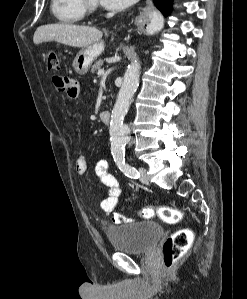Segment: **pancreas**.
<instances>
[{
    "label": "pancreas",
    "mask_w": 247,
    "mask_h": 299,
    "mask_svg": "<svg viewBox=\"0 0 247 299\" xmlns=\"http://www.w3.org/2000/svg\"><path fill=\"white\" fill-rule=\"evenodd\" d=\"M102 65H103V60H102V59H99V60L96 61V62L94 63V65L92 66L91 72L94 73L95 71L100 70L101 67H102Z\"/></svg>",
    "instance_id": "pancreas-1"
}]
</instances>
